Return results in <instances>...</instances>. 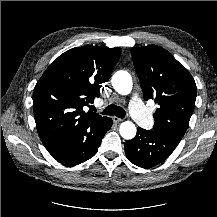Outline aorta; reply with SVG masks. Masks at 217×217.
Segmentation results:
<instances>
[{
    "label": "aorta",
    "instance_id": "1",
    "mask_svg": "<svg viewBox=\"0 0 217 217\" xmlns=\"http://www.w3.org/2000/svg\"><path fill=\"white\" fill-rule=\"evenodd\" d=\"M113 88L121 95H128L132 90V77L127 71H117L112 77ZM136 126L131 121H125L120 125L119 132L122 138L131 140L136 135Z\"/></svg>",
    "mask_w": 217,
    "mask_h": 217
}]
</instances>
